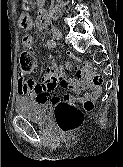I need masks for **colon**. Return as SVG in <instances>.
Here are the masks:
<instances>
[{"mask_svg":"<svg viewBox=\"0 0 123 167\" xmlns=\"http://www.w3.org/2000/svg\"><path fill=\"white\" fill-rule=\"evenodd\" d=\"M20 74L22 76L33 73L37 67V61L34 55L29 51H23L19 57ZM95 85H100L102 78L98 74L93 75ZM84 108L89 111L93 108V102L87 101ZM55 121L59 130L64 133H70L77 130L84 121V113L74 104L69 102L58 103L55 109Z\"/></svg>","mask_w":123,"mask_h":167,"instance_id":"colon-1","label":"colon"}]
</instances>
